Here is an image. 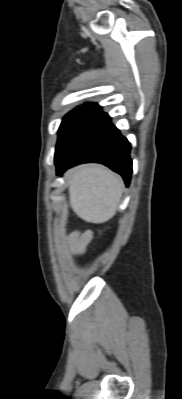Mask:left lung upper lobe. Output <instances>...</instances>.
<instances>
[{"label":"left lung upper lobe","mask_w":182,"mask_h":399,"mask_svg":"<svg viewBox=\"0 0 182 399\" xmlns=\"http://www.w3.org/2000/svg\"><path fill=\"white\" fill-rule=\"evenodd\" d=\"M100 109L96 103H86L69 112L62 120L58 130V141L55 149V158L65 149L75 130L90 114Z\"/></svg>","instance_id":"5c2ea615"}]
</instances>
